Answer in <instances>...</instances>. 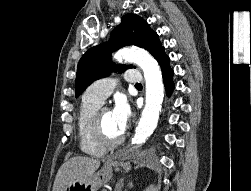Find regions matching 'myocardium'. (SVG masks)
Instances as JSON below:
<instances>
[{
    "label": "myocardium",
    "mask_w": 251,
    "mask_h": 191,
    "mask_svg": "<svg viewBox=\"0 0 251 191\" xmlns=\"http://www.w3.org/2000/svg\"><path fill=\"white\" fill-rule=\"evenodd\" d=\"M104 111H108V108L100 105L93 114L92 118L93 134L98 143L101 144L103 147L114 148L120 145L124 141L125 135L121 133L118 137L111 138L105 133L101 119V115Z\"/></svg>",
    "instance_id": "f54148a6"
}]
</instances>
